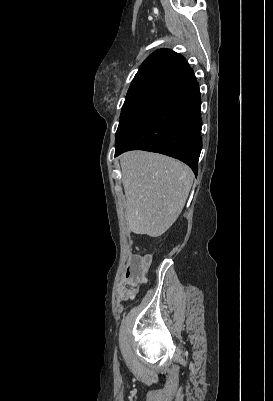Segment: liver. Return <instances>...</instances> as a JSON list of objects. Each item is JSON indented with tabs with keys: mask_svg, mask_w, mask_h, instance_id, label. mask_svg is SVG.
Returning a JSON list of instances; mask_svg holds the SVG:
<instances>
[{
	"mask_svg": "<svg viewBox=\"0 0 273 401\" xmlns=\"http://www.w3.org/2000/svg\"><path fill=\"white\" fill-rule=\"evenodd\" d=\"M120 164L129 231L161 237L183 211L194 178L191 168L145 150L124 152Z\"/></svg>",
	"mask_w": 273,
	"mask_h": 401,
	"instance_id": "liver-1",
	"label": "liver"
}]
</instances>
